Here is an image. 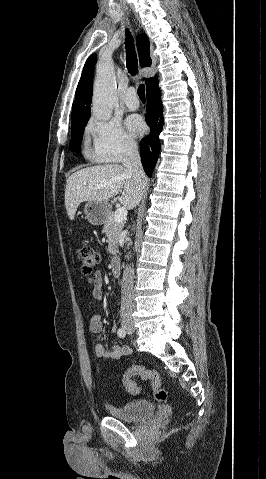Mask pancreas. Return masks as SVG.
Masks as SVG:
<instances>
[{"instance_id": "cf45deb5", "label": "pancreas", "mask_w": 266, "mask_h": 479, "mask_svg": "<svg viewBox=\"0 0 266 479\" xmlns=\"http://www.w3.org/2000/svg\"><path fill=\"white\" fill-rule=\"evenodd\" d=\"M123 227V222L118 223L114 221L113 213H110L106 221L104 222V228L102 232L105 233L108 239V252L112 255H115L118 252V242Z\"/></svg>"}]
</instances>
